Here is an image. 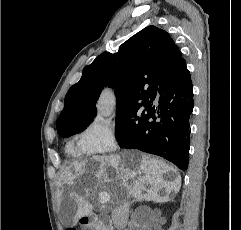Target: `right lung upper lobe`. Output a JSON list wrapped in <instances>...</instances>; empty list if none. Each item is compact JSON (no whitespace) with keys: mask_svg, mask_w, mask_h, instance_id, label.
Returning <instances> with one entry per match:
<instances>
[{"mask_svg":"<svg viewBox=\"0 0 241 230\" xmlns=\"http://www.w3.org/2000/svg\"><path fill=\"white\" fill-rule=\"evenodd\" d=\"M184 61L170 35L148 26L124 42L117 53L104 52L83 69L65 96L57 131L93 121L103 87L115 88L117 109L148 102L163 79Z\"/></svg>","mask_w":241,"mask_h":230,"instance_id":"1","label":"right lung upper lobe"}]
</instances>
